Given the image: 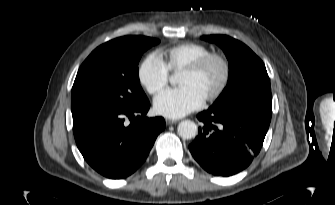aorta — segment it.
Wrapping results in <instances>:
<instances>
[{"label": "aorta", "mask_w": 335, "mask_h": 205, "mask_svg": "<svg viewBox=\"0 0 335 205\" xmlns=\"http://www.w3.org/2000/svg\"><path fill=\"white\" fill-rule=\"evenodd\" d=\"M170 82L174 83V78H170ZM177 131L180 137L183 139H192L196 137L198 133L197 125L191 120H184L178 124Z\"/></svg>", "instance_id": "aorta-1"}]
</instances>
